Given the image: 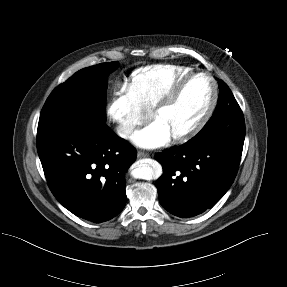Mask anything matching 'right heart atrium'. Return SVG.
<instances>
[{
  "label": "right heart atrium",
  "instance_id": "obj_1",
  "mask_svg": "<svg viewBox=\"0 0 287 287\" xmlns=\"http://www.w3.org/2000/svg\"><path fill=\"white\" fill-rule=\"evenodd\" d=\"M107 115L116 124L118 134L129 138L141 124L145 111L128 84H122L107 105Z\"/></svg>",
  "mask_w": 287,
  "mask_h": 287
}]
</instances>
